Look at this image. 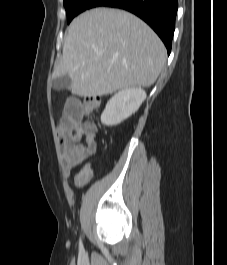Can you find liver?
Instances as JSON below:
<instances>
[{
    "instance_id": "1",
    "label": "liver",
    "mask_w": 227,
    "mask_h": 265,
    "mask_svg": "<svg viewBox=\"0 0 227 265\" xmlns=\"http://www.w3.org/2000/svg\"><path fill=\"white\" fill-rule=\"evenodd\" d=\"M166 59L164 44L141 19L119 9L97 8L67 28L52 77L67 74L72 94L90 98L153 85Z\"/></svg>"
}]
</instances>
